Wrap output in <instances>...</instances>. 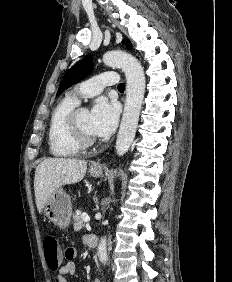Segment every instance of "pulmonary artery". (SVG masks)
I'll return each instance as SVG.
<instances>
[{
	"label": "pulmonary artery",
	"instance_id": "obj_1",
	"mask_svg": "<svg viewBox=\"0 0 232 282\" xmlns=\"http://www.w3.org/2000/svg\"><path fill=\"white\" fill-rule=\"evenodd\" d=\"M119 78L116 72L106 71L98 74L97 76L79 84L71 96L77 101L79 97H91L99 94L105 86H113L118 84Z\"/></svg>",
	"mask_w": 232,
	"mask_h": 282
}]
</instances>
